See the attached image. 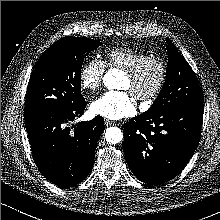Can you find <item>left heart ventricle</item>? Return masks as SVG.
<instances>
[{
    "instance_id": "obj_1",
    "label": "left heart ventricle",
    "mask_w": 220,
    "mask_h": 220,
    "mask_svg": "<svg viewBox=\"0 0 220 220\" xmlns=\"http://www.w3.org/2000/svg\"><path fill=\"white\" fill-rule=\"evenodd\" d=\"M158 75V68L152 65L138 80H132L127 75H125L121 84V88L129 89L136 96V94L141 90L149 91L157 82Z\"/></svg>"
}]
</instances>
